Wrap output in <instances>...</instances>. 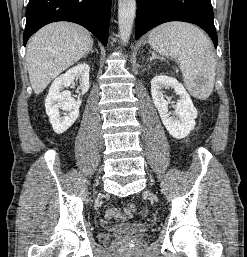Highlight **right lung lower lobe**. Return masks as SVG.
<instances>
[{
    "label": "right lung lower lobe",
    "instance_id": "right-lung-lower-lobe-1",
    "mask_svg": "<svg viewBox=\"0 0 247 257\" xmlns=\"http://www.w3.org/2000/svg\"><path fill=\"white\" fill-rule=\"evenodd\" d=\"M112 0H29L23 44L37 30L56 21L84 26L107 45Z\"/></svg>",
    "mask_w": 247,
    "mask_h": 257
}]
</instances>
